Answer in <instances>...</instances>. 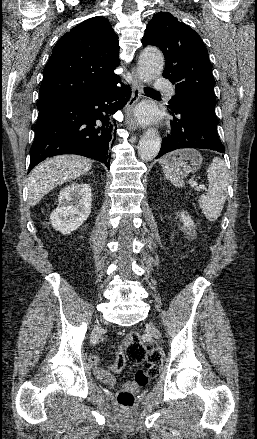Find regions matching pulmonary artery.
I'll use <instances>...</instances> for the list:
<instances>
[{
    "label": "pulmonary artery",
    "instance_id": "e3ab8cb5",
    "mask_svg": "<svg viewBox=\"0 0 257 439\" xmlns=\"http://www.w3.org/2000/svg\"><path fill=\"white\" fill-rule=\"evenodd\" d=\"M154 86L157 92L164 93L168 97H172L175 93L172 84L166 78L163 77L156 78L154 82Z\"/></svg>",
    "mask_w": 257,
    "mask_h": 439
}]
</instances>
